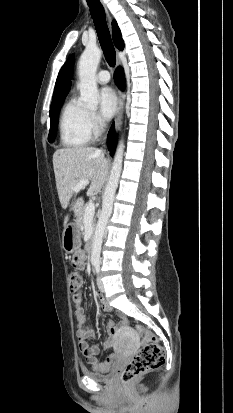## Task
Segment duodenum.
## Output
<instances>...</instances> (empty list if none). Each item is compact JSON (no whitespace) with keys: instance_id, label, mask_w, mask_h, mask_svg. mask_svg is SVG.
Returning <instances> with one entry per match:
<instances>
[{"instance_id":"1","label":"duodenum","mask_w":233,"mask_h":413,"mask_svg":"<svg viewBox=\"0 0 233 413\" xmlns=\"http://www.w3.org/2000/svg\"><path fill=\"white\" fill-rule=\"evenodd\" d=\"M93 244H94V237L90 236L88 241H87V246H86L88 252H90L92 250Z\"/></svg>"}]
</instances>
